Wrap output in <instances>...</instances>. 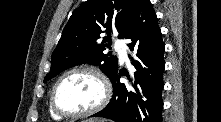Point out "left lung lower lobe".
Wrapping results in <instances>:
<instances>
[{
  "label": "left lung lower lobe",
  "instance_id": "0a47b994",
  "mask_svg": "<svg viewBox=\"0 0 221 122\" xmlns=\"http://www.w3.org/2000/svg\"><path fill=\"white\" fill-rule=\"evenodd\" d=\"M131 51H136L133 89L120 83L121 72L112 78L113 97L109 104L93 117L116 122H162L164 45L156 13L150 0H139L133 21L125 36Z\"/></svg>",
  "mask_w": 221,
  "mask_h": 122
}]
</instances>
